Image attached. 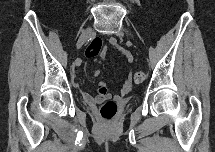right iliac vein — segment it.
<instances>
[{
  "instance_id": "1",
  "label": "right iliac vein",
  "mask_w": 215,
  "mask_h": 152,
  "mask_svg": "<svg viewBox=\"0 0 215 152\" xmlns=\"http://www.w3.org/2000/svg\"><path fill=\"white\" fill-rule=\"evenodd\" d=\"M91 34H92L91 28H87L82 32L76 44L77 49H80L86 43Z\"/></svg>"
}]
</instances>
